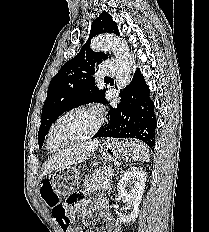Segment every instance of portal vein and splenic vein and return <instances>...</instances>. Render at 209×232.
I'll return each mask as SVG.
<instances>
[{
	"label": "portal vein and splenic vein",
	"instance_id": "18ae733b",
	"mask_svg": "<svg viewBox=\"0 0 209 232\" xmlns=\"http://www.w3.org/2000/svg\"><path fill=\"white\" fill-rule=\"evenodd\" d=\"M108 175H109L110 177H112V175H113V170H112V169L109 170Z\"/></svg>",
	"mask_w": 209,
	"mask_h": 232
}]
</instances>
